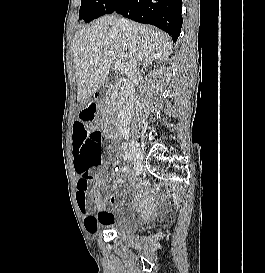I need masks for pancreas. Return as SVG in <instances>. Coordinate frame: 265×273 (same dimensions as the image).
Here are the masks:
<instances>
[{"instance_id": "pancreas-1", "label": "pancreas", "mask_w": 265, "mask_h": 273, "mask_svg": "<svg viewBox=\"0 0 265 273\" xmlns=\"http://www.w3.org/2000/svg\"><path fill=\"white\" fill-rule=\"evenodd\" d=\"M117 95H116V92L112 89H110L108 92H107V98H106V102H105V109L106 110H114L116 105H117Z\"/></svg>"}]
</instances>
